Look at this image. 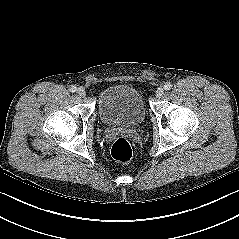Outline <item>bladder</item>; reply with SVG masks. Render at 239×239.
Listing matches in <instances>:
<instances>
[{"instance_id":"obj_1","label":"bladder","mask_w":239,"mask_h":239,"mask_svg":"<svg viewBox=\"0 0 239 239\" xmlns=\"http://www.w3.org/2000/svg\"><path fill=\"white\" fill-rule=\"evenodd\" d=\"M98 112L101 121L108 127H134L145 118L141 93L126 84L105 88L98 98Z\"/></svg>"}]
</instances>
